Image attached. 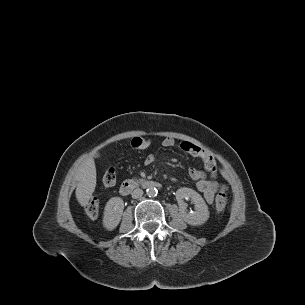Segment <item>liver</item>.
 <instances>
[{
  "instance_id": "6515ba94",
  "label": "liver",
  "mask_w": 305,
  "mask_h": 305,
  "mask_svg": "<svg viewBox=\"0 0 305 305\" xmlns=\"http://www.w3.org/2000/svg\"><path fill=\"white\" fill-rule=\"evenodd\" d=\"M76 180L79 181L76 198L81 206H86L96 187V167L92 157H87L82 162Z\"/></svg>"
}]
</instances>
